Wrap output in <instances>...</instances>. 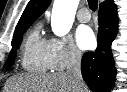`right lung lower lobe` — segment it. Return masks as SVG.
Listing matches in <instances>:
<instances>
[{"label":"right lung lower lobe","instance_id":"right-lung-lower-lobe-1","mask_svg":"<svg viewBox=\"0 0 127 92\" xmlns=\"http://www.w3.org/2000/svg\"><path fill=\"white\" fill-rule=\"evenodd\" d=\"M98 47L87 52L81 61L82 76L93 92H108L116 75L111 44L118 31V16L115 4L99 7Z\"/></svg>","mask_w":127,"mask_h":92}]
</instances>
